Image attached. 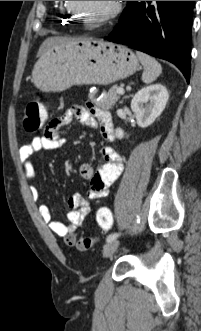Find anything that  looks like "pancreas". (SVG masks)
I'll use <instances>...</instances> for the list:
<instances>
[{
    "mask_svg": "<svg viewBox=\"0 0 201 331\" xmlns=\"http://www.w3.org/2000/svg\"><path fill=\"white\" fill-rule=\"evenodd\" d=\"M118 87H112L104 96L96 100V91L91 92L88 94V97L91 101H93L97 106L101 107L102 109H111L117 101L120 99V96L117 93Z\"/></svg>",
    "mask_w": 201,
    "mask_h": 331,
    "instance_id": "1",
    "label": "pancreas"
}]
</instances>
